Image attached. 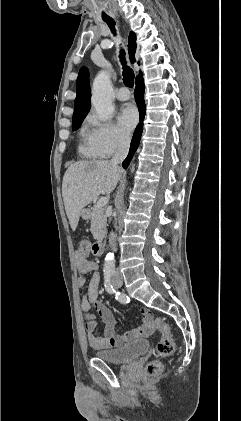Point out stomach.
Returning <instances> with one entry per match:
<instances>
[{
	"label": "stomach",
	"instance_id": "stomach-1",
	"mask_svg": "<svg viewBox=\"0 0 241 421\" xmlns=\"http://www.w3.org/2000/svg\"><path fill=\"white\" fill-rule=\"evenodd\" d=\"M80 216H81L83 219H88V218L90 217V212H89L87 209H83V210L81 211Z\"/></svg>",
	"mask_w": 241,
	"mask_h": 421
}]
</instances>
